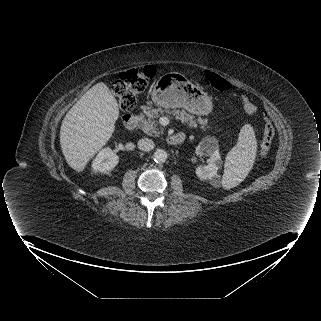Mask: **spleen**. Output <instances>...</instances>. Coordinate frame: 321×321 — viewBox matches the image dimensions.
<instances>
[{
	"instance_id": "obj_1",
	"label": "spleen",
	"mask_w": 321,
	"mask_h": 321,
	"mask_svg": "<svg viewBox=\"0 0 321 321\" xmlns=\"http://www.w3.org/2000/svg\"><path fill=\"white\" fill-rule=\"evenodd\" d=\"M257 151L253 127L245 124L239 133L237 144L228 152L225 161L222 186L231 189L240 184L251 170Z\"/></svg>"
}]
</instances>
